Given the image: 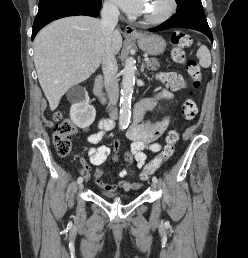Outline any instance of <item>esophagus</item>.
<instances>
[{
	"label": "esophagus",
	"instance_id": "34e87169",
	"mask_svg": "<svg viewBox=\"0 0 248 258\" xmlns=\"http://www.w3.org/2000/svg\"><path fill=\"white\" fill-rule=\"evenodd\" d=\"M125 34L127 36H137L138 35V31L136 30L135 27L128 25L125 27Z\"/></svg>",
	"mask_w": 248,
	"mask_h": 258
}]
</instances>
